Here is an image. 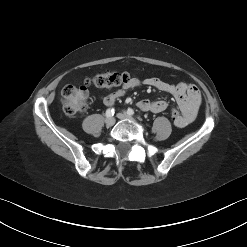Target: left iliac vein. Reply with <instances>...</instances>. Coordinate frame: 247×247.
I'll list each match as a JSON object with an SVG mask.
<instances>
[{"label":"left iliac vein","instance_id":"4c4485c4","mask_svg":"<svg viewBox=\"0 0 247 247\" xmlns=\"http://www.w3.org/2000/svg\"><path fill=\"white\" fill-rule=\"evenodd\" d=\"M117 117L119 119H132L129 115H127L125 112H120L117 114Z\"/></svg>","mask_w":247,"mask_h":247}]
</instances>
